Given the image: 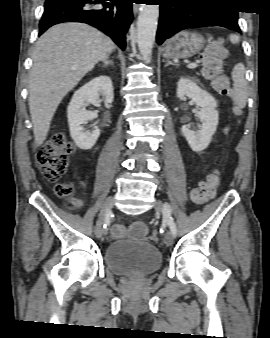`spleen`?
Here are the masks:
<instances>
[{
	"label": "spleen",
	"mask_w": 270,
	"mask_h": 338,
	"mask_svg": "<svg viewBox=\"0 0 270 338\" xmlns=\"http://www.w3.org/2000/svg\"><path fill=\"white\" fill-rule=\"evenodd\" d=\"M233 80V99L240 106L244 107L247 97V82L245 80V68L242 63L234 66L232 73Z\"/></svg>",
	"instance_id": "1"
}]
</instances>
